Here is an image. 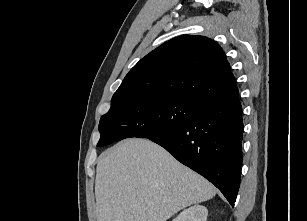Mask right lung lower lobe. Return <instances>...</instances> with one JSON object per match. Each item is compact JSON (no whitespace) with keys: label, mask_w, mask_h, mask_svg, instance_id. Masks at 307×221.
I'll return each instance as SVG.
<instances>
[{"label":"right lung lower lobe","mask_w":307,"mask_h":221,"mask_svg":"<svg viewBox=\"0 0 307 221\" xmlns=\"http://www.w3.org/2000/svg\"><path fill=\"white\" fill-rule=\"evenodd\" d=\"M242 137L238 94L207 104L186 124L148 139L208 179L233 206L240 186Z\"/></svg>","instance_id":"obj_1"}]
</instances>
